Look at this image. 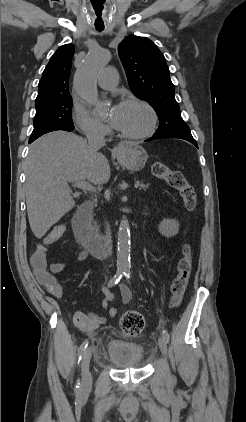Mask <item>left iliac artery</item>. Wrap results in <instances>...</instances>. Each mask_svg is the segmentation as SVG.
<instances>
[{"mask_svg":"<svg viewBox=\"0 0 246 422\" xmlns=\"http://www.w3.org/2000/svg\"><path fill=\"white\" fill-rule=\"evenodd\" d=\"M124 275H125V277H126L127 279H130V270L126 269V270L124 271ZM162 335H163V337H164L165 341H166V342H168V341H169V334H168V331H167V330H163Z\"/></svg>","mask_w":246,"mask_h":422,"instance_id":"44dca946","label":"left iliac artery"}]
</instances>
